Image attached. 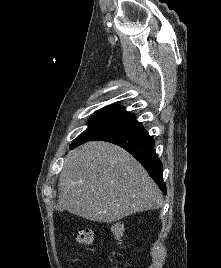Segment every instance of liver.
<instances>
[{
  "instance_id": "liver-1",
  "label": "liver",
  "mask_w": 221,
  "mask_h": 268,
  "mask_svg": "<svg viewBox=\"0 0 221 268\" xmlns=\"http://www.w3.org/2000/svg\"><path fill=\"white\" fill-rule=\"evenodd\" d=\"M58 211L104 223L162 206L163 197L142 165L107 142L71 151L59 178Z\"/></svg>"
}]
</instances>
